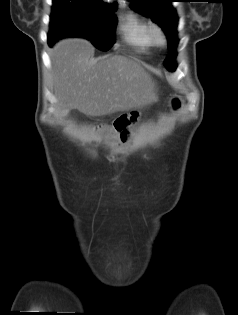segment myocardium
<instances>
[{"mask_svg":"<svg viewBox=\"0 0 238 315\" xmlns=\"http://www.w3.org/2000/svg\"><path fill=\"white\" fill-rule=\"evenodd\" d=\"M151 36L154 44L164 45L166 42V37L163 29L158 25H153L151 27Z\"/></svg>","mask_w":238,"mask_h":315,"instance_id":"obj_1","label":"myocardium"}]
</instances>
